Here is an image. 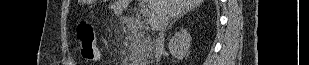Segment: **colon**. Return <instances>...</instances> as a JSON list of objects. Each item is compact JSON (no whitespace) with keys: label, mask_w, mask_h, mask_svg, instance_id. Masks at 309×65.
<instances>
[{"label":"colon","mask_w":309,"mask_h":65,"mask_svg":"<svg viewBox=\"0 0 309 65\" xmlns=\"http://www.w3.org/2000/svg\"><path fill=\"white\" fill-rule=\"evenodd\" d=\"M77 38L80 44L81 54L86 61H95L100 56L95 34L92 26L82 21L77 27Z\"/></svg>","instance_id":"1"}]
</instances>
